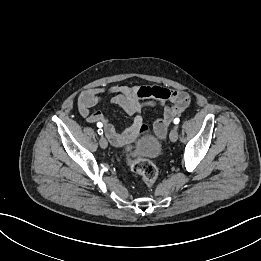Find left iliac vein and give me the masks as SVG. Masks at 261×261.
Returning a JSON list of instances; mask_svg holds the SVG:
<instances>
[{
	"label": "left iliac vein",
	"mask_w": 261,
	"mask_h": 261,
	"mask_svg": "<svg viewBox=\"0 0 261 261\" xmlns=\"http://www.w3.org/2000/svg\"><path fill=\"white\" fill-rule=\"evenodd\" d=\"M169 138L172 142H176L178 139V130H177V126H174L173 129L171 130L170 134H169Z\"/></svg>",
	"instance_id": "obj_1"
}]
</instances>
